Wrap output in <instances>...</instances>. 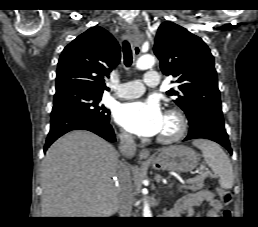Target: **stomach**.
Wrapping results in <instances>:
<instances>
[{
    "mask_svg": "<svg viewBox=\"0 0 258 227\" xmlns=\"http://www.w3.org/2000/svg\"><path fill=\"white\" fill-rule=\"evenodd\" d=\"M151 165L156 170L189 172L197 167L198 154L190 147L174 145L162 149Z\"/></svg>",
    "mask_w": 258,
    "mask_h": 227,
    "instance_id": "1",
    "label": "stomach"
}]
</instances>
